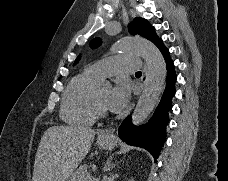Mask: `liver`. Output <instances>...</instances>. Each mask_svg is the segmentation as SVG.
<instances>
[{"mask_svg": "<svg viewBox=\"0 0 228 181\" xmlns=\"http://www.w3.org/2000/svg\"><path fill=\"white\" fill-rule=\"evenodd\" d=\"M96 131L88 127H50L37 149L32 181H67L91 149Z\"/></svg>", "mask_w": 228, "mask_h": 181, "instance_id": "6515ba94", "label": "liver"}]
</instances>
